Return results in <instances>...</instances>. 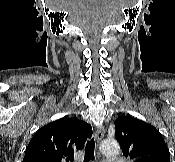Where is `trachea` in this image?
I'll use <instances>...</instances> for the list:
<instances>
[{"mask_svg":"<svg viewBox=\"0 0 175 162\" xmlns=\"http://www.w3.org/2000/svg\"><path fill=\"white\" fill-rule=\"evenodd\" d=\"M95 140L92 138L88 140L85 146L84 162L94 161Z\"/></svg>","mask_w":175,"mask_h":162,"instance_id":"1","label":"trachea"}]
</instances>
